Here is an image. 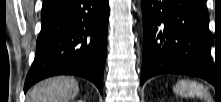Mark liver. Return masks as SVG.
Returning <instances> with one entry per match:
<instances>
[{
    "label": "liver",
    "mask_w": 221,
    "mask_h": 102,
    "mask_svg": "<svg viewBox=\"0 0 221 102\" xmlns=\"http://www.w3.org/2000/svg\"><path fill=\"white\" fill-rule=\"evenodd\" d=\"M78 92L79 85L74 78L58 76L38 83L29 92L27 102H69Z\"/></svg>",
    "instance_id": "liver-1"
}]
</instances>
